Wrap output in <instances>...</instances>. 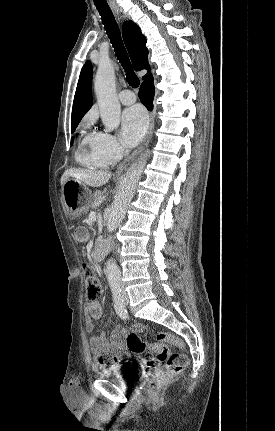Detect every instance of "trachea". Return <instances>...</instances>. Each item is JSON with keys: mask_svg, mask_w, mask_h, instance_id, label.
<instances>
[{"mask_svg": "<svg viewBox=\"0 0 275 431\" xmlns=\"http://www.w3.org/2000/svg\"><path fill=\"white\" fill-rule=\"evenodd\" d=\"M97 10L105 26L107 35L112 43L116 56L126 72L127 82L133 88L140 84V80L132 69L127 51L121 38V32L110 8H99Z\"/></svg>", "mask_w": 275, "mask_h": 431, "instance_id": "1", "label": "trachea"}]
</instances>
